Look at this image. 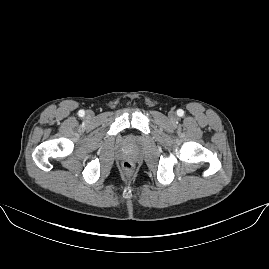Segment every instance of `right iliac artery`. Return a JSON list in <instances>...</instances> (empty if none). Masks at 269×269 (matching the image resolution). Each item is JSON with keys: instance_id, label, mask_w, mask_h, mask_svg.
<instances>
[{"instance_id": "right-iliac-artery-1", "label": "right iliac artery", "mask_w": 269, "mask_h": 269, "mask_svg": "<svg viewBox=\"0 0 269 269\" xmlns=\"http://www.w3.org/2000/svg\"><path fill=\"white\" fill-rule=\"evenodd\" d=\"M78 114H79V116L83 117V116L85 115V112H84V110H80V111L78 112Z\"/></svg>"}]
</instances>
